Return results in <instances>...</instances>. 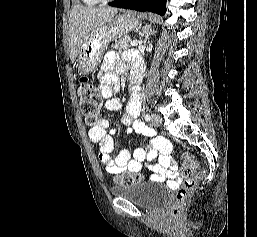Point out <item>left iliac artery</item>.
<instances>
[{"label": "left iliac artery", "instance_id": "44dca946", "mask_svg": "<svg viewBox=\"0 0 257 237\" xmlns=\"http://www.w3.org/2000/svg\"><path fill=\"white\" fill-rule=\"evenodd\" d=\"M144 118H145L146 121H150V115L148 113H146L144 115Z\"/></svg>", "mask_w": 257, "mask_h": 237}]
</instances>
